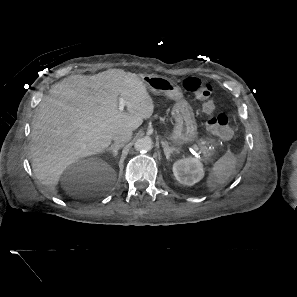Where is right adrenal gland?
<instances>
[{
    "mask_svg": "<svg viewBox=\"0 0 297 297\" xmlns=\"http://www.w3.org/2000/svg\"><path fill=\"white\" fill-rule=\"evenodd\" d=\"M121 146H117L116 144H112L109 148L106 149V151H111L113 153V156H117L118 150Z\"/></svg>",
    "mask_w": 297,
    "mask_h": 297,
    "instance_id": "2a0ac1e0",
    "label": "right adrenal gland"
}]
</instances>
